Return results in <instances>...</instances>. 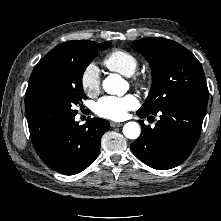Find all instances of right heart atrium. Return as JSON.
<instances>
[{"label":"right heart atrium","mask_w":221,"mask_h":221,"mask_svg":"<svg viewBox=\"0 0 221 221\" xmlns=\"http://www.w3.org/2000/svg\"><path fill=\"white\" fill-rule=\"evenodd\" d=\"M80 85L89 97L98 95L101 88L100 69L95 63L88 64L81 73Z\"/></svg>","instance_id":"d8ad5b80"}]
</instances>
